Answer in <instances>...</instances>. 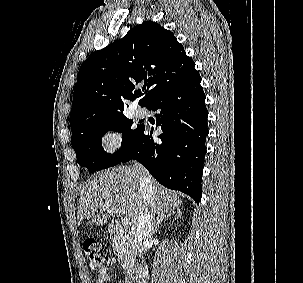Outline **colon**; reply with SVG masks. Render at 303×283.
<instances>
[{
  "label": "colon",
  "mask_w": 303,
  "mask_h": 283,
  "mask_svg": "<svg viewBox=\"0 0 303 283\" xmlns=\"http://www.w3.org/2000/svg\"><path fill=\"white\" fill-rule=\"evenodd\" d=\"M83 252L89 268L92 271H100L111 255V247L101 241L89 240L83 244Z\"/></svg>",
  "instance_id": "1"
}]
</instances>
